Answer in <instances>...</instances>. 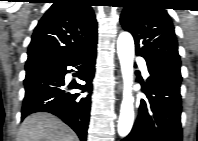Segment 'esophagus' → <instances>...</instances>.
<instances>
[{"label":"esophagus","mask_w":198,"mask_h":141,"mask_svg":"<svg viewBox=\"0 0 198 141\" xmlns=\"http://www.w3.org/2000/svg\"><path fill=\"white\" fill-rule=\"evenodd\" d=\"M121 90H122V84H121V82L119 81V82H118V85H117V91H118V93H120Z\"/></svg>","instance_id":"34e87169"}]
</instances>
